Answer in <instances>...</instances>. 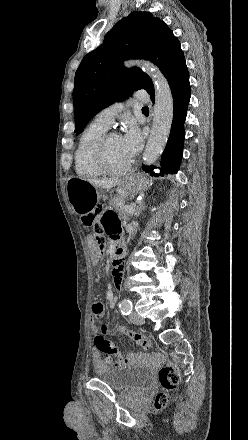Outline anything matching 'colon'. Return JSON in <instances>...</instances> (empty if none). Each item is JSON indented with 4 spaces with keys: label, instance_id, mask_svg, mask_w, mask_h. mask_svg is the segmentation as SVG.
Returning a JSON list of instances; mask_svg holds the SVG:
<instances>
[{
    "label": "colon",
    "instance_id": "obj_1",
    "mask_svg": "<svg viewBox=\"0 0 248 440\" xmlns=\"http://www.w3.org/2000/svg\"><path fill=\"white\" fill-rule=\"evenodd\" d=\"M103 213L104 212L100 206L94 205L82 217L83 223L92 228L89 238L91 243L92 259L94 262L100 258L104 251L105 229L102 222ZM110 332L127 337L145 349H149L153 346L151 340L140 332H136L125 327H104L103 334L95 337L96 347L104 353L115 356L119 362L123 360V357L121 356L118 346L104 336L106 333ZM158 377L164 391L156 395L155 407L157 409H161L168 403L167 391L173 390L179 385L180 372L174 363L168 362L159 369Z\"/></svg>",
    "mask_w": 248,
    "mask_h": 440
}]
</instances>
